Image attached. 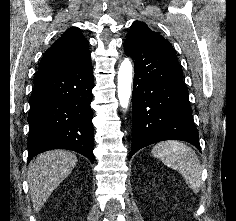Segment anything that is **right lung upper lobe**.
I'll return each instance as SVG.
<instances>
[{"instance_id": "right-lung-upper-lobe-1", "label": "right lung upper lobe", "mask_w": 236, "mask_h": 221, "mask_svg": "<svg viewBox=\"0 0 236 221\" xmlns=\"http://www.w3.org/2000/svg\"><path fill=\"white\" fill-rule=\"evenodd\" d=\"M91 62L88 41L76 27L69 28L45 52L37 76L79 67Z\"/></svg>"}]
</instances>
